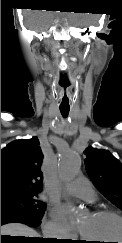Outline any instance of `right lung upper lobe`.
<instances>
[{
    "label": "right lung upper lobe",
    "instance_id": "obj_1",
    "mask_svg": "<svg viewBox=\"0 0 122 243\" xmlns=\"http://www.w3.org/2000/svg\"><path fill=\"white\" fill-rule=\"evenodd\" d=\"M43 153L39 140H16L1 150V197L41 192Z\"/></svg>",
    "mask_w": 122,
    "mask_h": 243
}]
</instances>
